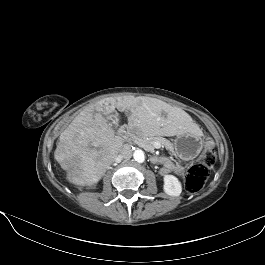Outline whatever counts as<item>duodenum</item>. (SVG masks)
Segmentation results:
<instances>
[{
	"label": "duodenum",
	"mask_w": 265,
	"mask_h": 265,
	"mask_svg": "<svg viewBox=\"0 0 265 265\" xmlns=\"http://www.w3.org/2000/svg\"><path fill=\"white\" fill-rule=\"evenodd\" d=\"M118 135H119L120 137H125V136H126V131L123 130V129H121V130L119 131Z\"/></svg>",
	"instance_id": "1"
}]
</instances>
